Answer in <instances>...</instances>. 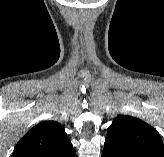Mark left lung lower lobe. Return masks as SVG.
<instances>
[{
    "instance_id": "0a47b994",
    "label": "left lung lower lobe",
    "mask_w": 164,
    "mask_h": 157,
    "mask_svg": "<svg viewBox=\"0 0 164 157\" xmlns=\"http://www.w3.org/2000/svg\"><path fill=\"white\" fill-rule=\"evenodd\" d=\"M101 157H135L112 142L105 140Z\"/></svg>"
}]
</instances>
